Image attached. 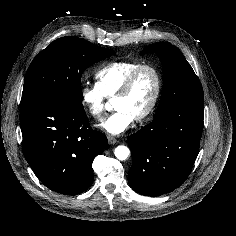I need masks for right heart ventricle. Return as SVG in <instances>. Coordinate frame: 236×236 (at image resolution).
I'll return each mask as SVG.
<instances>
[{
    "mask_svg": "<svg viewBox=\"0 0 236 236\" xmlns=\"http://www.w3.org/2000/svg\"><path fill=\"white\" fill-rule=\"evenodd\" d=\"M141 64L136 60L110 62L95 73L96 85L107 99H112L129 74Z\"/></svg>",
    "mask_w": 236,
    "mask_h": 236,
    "instance_id": "1",
    "label": "right heart ventricle"
}]
</instances>
